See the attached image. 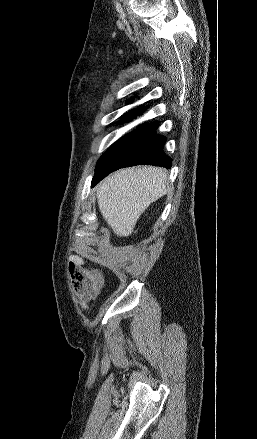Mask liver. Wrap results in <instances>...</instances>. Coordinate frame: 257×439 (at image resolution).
I'll list each match as a JSON object with an SVG mask.
<instances>
[{"label": "liver", "instance_id": "obj_1", "mask_svg": "<svg viewBox=\"0 0 257 439\" xmlns=\"http://www.w3.org/2000/svg\"><path fill=\"white\" fill-rule=\"evenodd\" d=\"M167 192V172L143 166L121 169L106 177L97 187L99 210L118 236H129L141 214ZM83 264L79 256H71Z\"/></svg>", "mask_w": 257, "mask_h": 439}]
</instances>
